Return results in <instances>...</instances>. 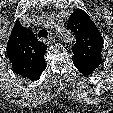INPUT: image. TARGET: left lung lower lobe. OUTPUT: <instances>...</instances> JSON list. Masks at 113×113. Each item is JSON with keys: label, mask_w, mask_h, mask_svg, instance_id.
Here are the masks:
<instances>
[{"label": "left lung lower lobe", "mask_w": 113, "mask_h": 113, "mask_svg": "<svg viewBox=\"0 0 113 113\" xmlns=\"http://www.w3.org/2000/svg\"><path fill=\"white\" fill-rule=\"evenodd\" d=\"M82 74H84V75H90V74H88L87 72H85L84 70H79Z\"/></svg>", "instance_id": "0a47b994"}]
</instances>
